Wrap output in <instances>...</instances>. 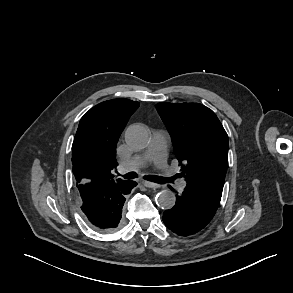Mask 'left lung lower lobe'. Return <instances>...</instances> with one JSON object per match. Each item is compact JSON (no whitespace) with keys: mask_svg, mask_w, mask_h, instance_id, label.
Wrapping results in <instances>:
<instances>
[{"mask_svg":"<svg viewBox=\"0 0 293 293\" xmlns=\"http://www.w3.org/2000/svg\"><path fill=\"white\" fill-rule=\"evenodd\" d=\"M176 193L175 206L163 213L165 225L181 236L197 233L212 220L218 206L191 188Z\"/></svg>","mask_w":293,"mask_h":293,"instance_id":"0a47b994","label":"left lung lower lobe"}]
</instances>
